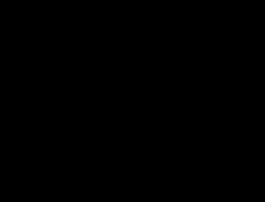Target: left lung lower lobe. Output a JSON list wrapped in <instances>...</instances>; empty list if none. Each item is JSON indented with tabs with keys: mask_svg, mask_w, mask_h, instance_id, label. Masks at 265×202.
<instances>
[{
	"mask_svg": "<svg viewBox=\"0 0 265 202\" xmlns=\"http://www.w3.org/2000/svg\"><path fill=\"white\" fill-rule=\"evenodd\" d=\"M221 123V114H218L208 129L199 132L194 127L172 124L162 117L154 116L155 141L158 148L171 157H194L204 144L207 146L216 141Z\"/></svg>",
	"mask_w": 265,
	"mask_h": 202,
	"instance_id": "0a47b994",
	"label": "left lung lower lobe"
}]
</instances>
